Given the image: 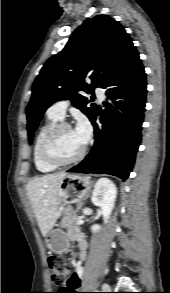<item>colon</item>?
<instances>
[{"instance_id": "5ec220e1", "label": "colon", "mask_w": 170, "mask_h": 293, "mask_svg": "<svg viewBox=\"0 0 170 293\" xmlns=\"http://www.w3.org/2000/svg\"><path fill=\"white\" fill-rule=\"evenodd\" d=\"M49 265L51 268V278L56 289L51 293H69L70 288L66 284V280L70 274V270L63 259L52 256L49 258ZM73 286V282H70Z\"/></svg>"}]
</instances>
